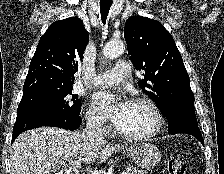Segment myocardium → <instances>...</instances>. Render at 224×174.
Returning <instances> with one entry per match:
<instances>
[{
	"mask_svg": "<svg viewBox=\"0 0 224 174\" xmlns=\"http://www.w3.org/2000/svg\"><path fill=\"white\" fill-rule=\"evenodd\" d=\"M131 103L142 104V105L147 106L152 111V113L155 117V125L150 131H148L146 133H142V134L125 133L118 128L117 129L118 134L122 138L127 139V140H132V141L147 140V139H150V138L156 136L161 131L163 124H164L163 114H162L161 110L159 109V107L156 105V103L153 100H151L150 98L142 97V96L132 99Z\"/></svg>",
	"mask_w": 224,
	"mask_h": 174,
	"instance_id": "myocardium-1",
	"label": "myocardium"
}]
</instances>
